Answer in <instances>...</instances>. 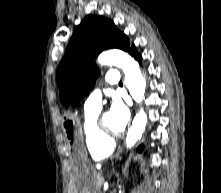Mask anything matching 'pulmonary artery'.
Listing matches in <instances>:
<instances>
[{
  "instance_id": "1",
  "label": "pulmonary artery",
  "mask_w": 221,
  "mask_h": 193,
  "mask_svg": "<svg viewBox=\"0 0 221 193\" xmlns=\"http://www.w3.org/2000/svg\"><path fill=\"white\" fill-rule=\"evenodd\" d=\"M105 80L110 85H118L120 81L119 71L109 70L106 73ZM102 93L100 89L94 90L84 103L85 112L99 111L101 108Z\"/></svg>"
}]
</instances>
